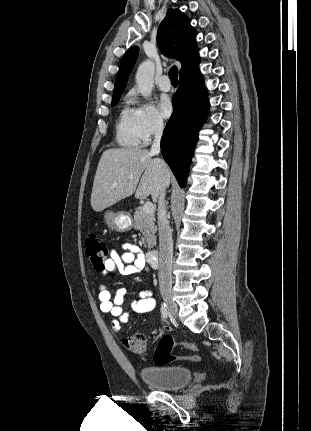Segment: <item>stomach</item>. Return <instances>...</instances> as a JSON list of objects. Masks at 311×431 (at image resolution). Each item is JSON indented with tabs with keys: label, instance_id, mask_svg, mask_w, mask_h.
Returning a JSON list of instances; mask_svg holds the SVG:
<instances>
[{
	"label": "stomach",
	"instance_id": "1",
	"mask_svg": "<svg viewBox=\"0 0 311 431\" xmlns=\"http://www.w3.org/2000/svg\"><path fill=\"white\" fill-rule=\"evenodd\" d=\"M103 219L107 227L115 229V231H128L134 225V219L129 212H116V214L114 212H105Z\"/></svg>",
	"mask_w": 311,
	"mask_h": 431
}]
</instances>
